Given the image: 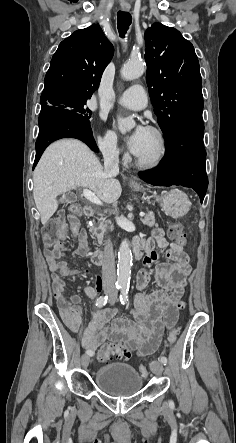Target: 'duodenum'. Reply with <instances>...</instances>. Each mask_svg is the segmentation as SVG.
<instances>
[{"label": "duodenum", "instance_id": "1", "mask_svg": "<svg viewBox=\"0 0 236 443\" xmlns=\"http://www.w3.org/2000/svg\"><path fill=\"white\" fill-rule=\"evenodd\" d=\"M85 215L88 218H93L95 216V210L91 206H87L85 208ZM132 250H133L134 257L136 259H139L142 254L141 247H139L137 245H133ZM92 260H93V263L97 266H101L104 264V257L100 251H94L92 253Z\"/></svg>", "mask_w": 236, "mask_h": 443}]
</instances>
